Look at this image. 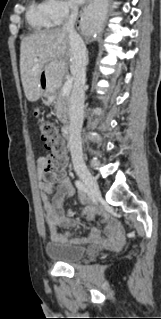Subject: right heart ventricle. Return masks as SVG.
Wrapping results in <instances>:
<instances>
[{"label":"right heart ventricle","mask_w":161,"mask_h":319,"mask_svg":"<svg viewBox=\"0 0 161 319\" xmlns=\"http://www.w3.org/2000/svg\"><path fill=\"white\" fill-rule=\"evenodd\" d=\"M27 20L37 31L55 26L54 17L46 1L33 2L28 9Z\"/></svg>","instance_id":"e07e8e85"}]
</instances>
